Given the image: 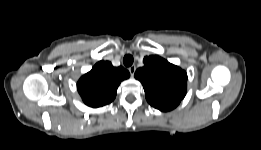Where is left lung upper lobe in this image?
I'll return each instance as SVG.
<instances>
[{
    "mask_svg": "<svg viewBox=\"0 0 261 150\" xmlns=\"http://www.w3.org/2000/svg\"><path fill=\"white\" fill-rule=\"evenodd\" d=\"M143 62L135 78L142 83L148 103L160 111L177 107L186 94V72L159 56L145 57Z\"/></svg>",
    "mask_w": 261,
    "mask_h": 150,
    "instance_id": "obj_1",
    "label": "left lung upper lobe"
}]
</instances>
